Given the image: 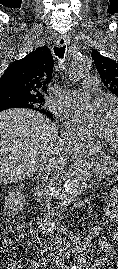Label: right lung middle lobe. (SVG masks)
<instances>
[{
  "instance_id": "dd1d6c3e",
  "label": "right lung middle lobe",
  "mask_w": 118,
  "mask_h": 269,
  "mask_svg": "<svg viewBox=\"0 0 118 269\" xmlns=\"http://www.w3.org/2000/svg\"><path fill=\"white\" fill-rule=\"evenodd\" d=\"M10 100L17 106L31 109L44 105L40 100L23 95H12Z\"/></svg>"
}]
</instances>
